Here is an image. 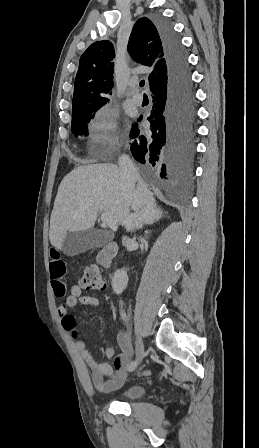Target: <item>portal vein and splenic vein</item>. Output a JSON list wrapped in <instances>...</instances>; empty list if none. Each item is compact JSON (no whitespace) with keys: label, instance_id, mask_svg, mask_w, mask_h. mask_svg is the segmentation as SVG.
<instances>
[{"label":"portal vein and splenic vein","instance_id":"18ae733b","mask_svg":"<svg viewBox=\"0 0 259 448\" xmlns=\"http://www.w3.org/2000/svg\"><path fill=\"white\" fill-rule=\"evenodd\" d=\"M101 222L103 224H107L111 230H117V222L114 220L113 216L111 214H107V212H104L101 216Z\"/></svg>","mask_w":259,"mask_h":448}]
</instances>
